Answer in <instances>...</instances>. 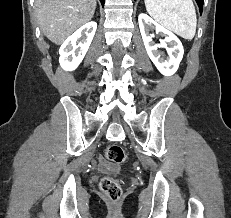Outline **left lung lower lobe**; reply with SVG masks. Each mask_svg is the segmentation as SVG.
Segmentation results:
<instances>
[{
	"label": "left lung lower lobe",
	"mask_w": 231,
	"mask_h": 218,
	"mask_svg": "<svg viewBox=\"0 0 231 218\" xmlns=\"http://www.w3.org/2000/svg\"><path fill=\"white\" fill-rule=\"evenodd\" d=\"M196 2L198 4V6H199L200 13H202L204 0H196Z\"/></svg>",
	"instance_id": "1"
}]
</instances>
